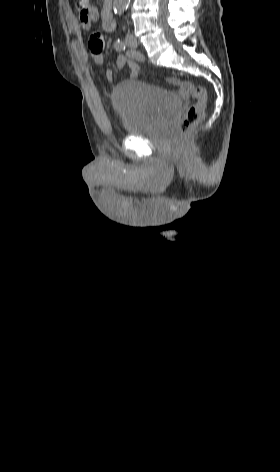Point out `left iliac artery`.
I'll list each match as a JSON object with an SVG mask.
<instances>
[{
  "instance_id": "44dca946",
  "label": "left iliac artery",
  "mask_w": 280,
  "mask_h": 472,
  "mask_svg": "<svg viewBox=\"0 0 280 472\" xmlns=\"http://www.w3.org/2000/svg\"><path fill=\"white\" fill-rule=\"evenodd\" d=\"M114 47L116 50H123L125 49V44L121 39H117L114 43Z\"/></svg>"
}]
</instances>
